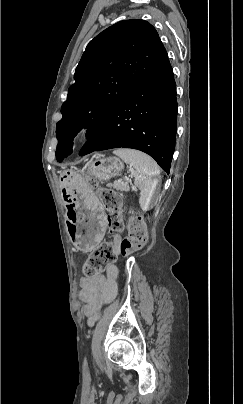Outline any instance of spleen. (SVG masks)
<instances>
[{
	"mask_svg": "<svg viewBox=\"0 0 243 404\" xmlns=\"http://www.w3.org/2000/svg\"><path fill=\"white\" fill-rule=\"evenodd\" d=\"M113 154L119 156L125 164L132 166L133 176H135L134 184L140 190V208L143 212L151 210V202L160 174L156 162H154L153 158L143 154V152H138V150L119 148V150H114Z\"/></svg>",
	"mask_w": 243,
	"mask_h": 404,
	"instance_id": "obj_1",
	"label": "spleen"
}]
</instances>
